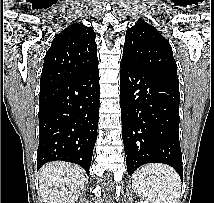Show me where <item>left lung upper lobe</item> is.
Segmentation results:
<instances>
[{"label":"left lung upper lobe","instance_id":"obj_1","mask_svg":"<svg viewBox=\"0 0 214 203\" xmlns=\"http://www.w3.org/2000/svg\"><path fill=\"white\" fill-rule=\"evenodd\" d=\"M122 57L178 79L177 65L169 42L154 26L143 20L127 30Z\"/></svg>","mask_w":214,"mask_h":203}]
</instances>
